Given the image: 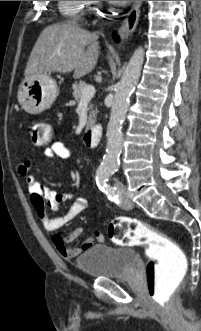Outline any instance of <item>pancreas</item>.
<instances>
[{
    "mask_svg": "<svg viewBox=\"0 0 201 331\" xmlns=\"http://www.w3.org/2000/svg\"><path fill=\"white\" fill-rule=\"evenodd\" d=\"M87 84L84 81H79V82H75L73 85V97L75 98V100L77 102L80 101L81 97H82V89L84 87H86ZM89 116H88V123H87V127L92 126L95 123L96 120V115H97V110L93 109V104L89 105Z\"/></svg>",
    "mask_w": 201,
    "mask_h": 331,
    "instance_id": "1",
    "label": "pancreas"
}]
</instances>
